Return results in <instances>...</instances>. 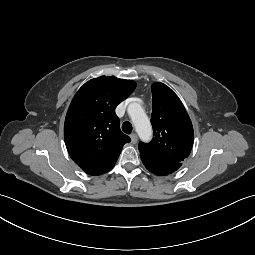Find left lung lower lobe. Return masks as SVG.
<instances>
[{
  "label": "left lung lower lobe",
  "instance_id": "left-lung-lower-lobe-1",
  "mask_svg": "<svg viewBox=\"0 0 255 255\" xmlns=\"http://www.w3.org/2000/svg\"><path fill=\"white\" fill-rule=\"evenodd\" d=\"M142 162L147 170H149L150 172H152L156 175H160V176H165V175L171 174V173L175 172L177 169H179V167H180V166L169 167V168L157 167V166L151 165L147 162H144V161H142Z\"/></svg>",
  "mask_w": 255,
  "mask_h": 255
}]
</instances>
